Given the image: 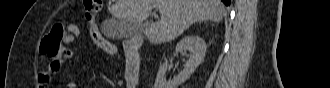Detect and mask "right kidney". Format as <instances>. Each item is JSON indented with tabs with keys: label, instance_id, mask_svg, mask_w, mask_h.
<instances>
[{
	"label": "right kidney",
	"instance_id": "obj_1",
	"mask_svg": "<svg viewBox=\"0 0 330 88\" xmlns=\"http://www.w3.org/2000/svg\"><path fill=\"white\" fill-rule=\"evenodd\" d=\"M207 46L205 41L199 36H186L182 38L176 45V53L186 55L188 60L184 65V69L173 79L168 81L165 79V74L168 69V64L164 63L159 67L154 88H177L184 83L196 70V68L204 61ZM187 51L190 52L187 55Z\"/></svg>",
	"mask_w": 330,
	"mask_h": 88
}]
</instances>
